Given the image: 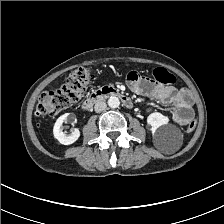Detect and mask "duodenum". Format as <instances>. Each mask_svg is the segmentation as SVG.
<instances>
[{
  "label": "duodenum",
  "mask_w": 224,
  "mask_h": 224,
  "mask_svg": "<svg viewBox=\"0 0 224 224\" xmlns=\"http://www.w3.org/2000/svg\"><path fill=\"white\" fill-rule=\"evenodd\" d=\"M107 97H117L119 98L124 106L128 109L132 108V101L121 91L112 87H103L97 91L92 92L83 102L82 109L84 111L88 110L96 102L107 98Z\"/></svg>",
  "instance_id": "duodenum-1"
}]
</instances>
